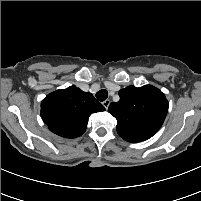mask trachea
I'll return each mask as SVG.
<instances>
[{
  "label": "trachea",
  "instance_id": "trachea-1",
  "mask_svg": "<svg viewBox=\"0 0 201 201\" xmlns=\"http://www.w3.org/2000/svg\"><path fill=\"white\" fill-rule=\"evenodd\" d=\"M108 97V91L105 90V89H102V90H99L97 93H96V98L99 100V101H104L106 100Z\"/></svg>",
  "mask_w": 201,
  "mask_h": 201
}]
</instances>
